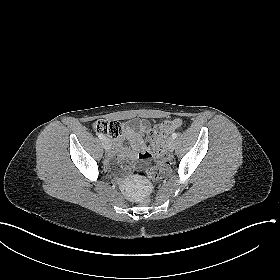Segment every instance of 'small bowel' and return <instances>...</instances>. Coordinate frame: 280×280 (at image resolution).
Here are the masks:
<instances>
[{"mask_svg": "<svg viewBox=\"0 0 280 280\" xmlns=\"http://www.w3.org/2000/svg\"><path fill=\"white\" fill-rule=\"evenodd\" d=\"M150 129L149 121L135 119L127 122L122 128L121 135L113 140V148L107 154L109 162L117 158L123 163L143 165L150 158L146 134ZM125 139L130 140V147L124 145Z\"/></svg>", "mask_w": 280, "mask_h": 280, "instance_id": "obj_1", "label": "small bowel"}]
</instances>
